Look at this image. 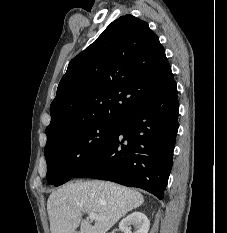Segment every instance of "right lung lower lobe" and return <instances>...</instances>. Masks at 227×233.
Here are the masks:
<instances>
[{
	"instance_id": "right-lung-lower-lobe-1",
	"label": "right lung lower lobe",
	"mask_w": 227,
	"mask_h": 233,
	"mask_svg": "<svg viewBox=\"0 0 227 233\" xmlns=\"http://www.w3.org/2000/svg\"><path fill=\"white\" fill-rule=\"evenodd\" d=\"M179 104L175 81L118 122L114 135L73 178L113 181L160 200L173 164Z\"/></svg>"
}]
</instances>
